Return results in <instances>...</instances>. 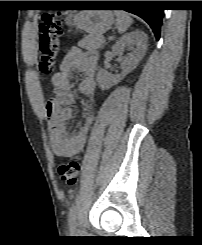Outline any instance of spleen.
Listing matches in <instances>:
<instances>
[{
  "instance_id": "3e777b00",
  "label": "spleen",
  "mask_w": 202,
  "mask_h": 245,
  "mask_svg": "<svg viewBox=\"0 0 202 245\" xmlns=\"http://www.w3.org/2000/svg\"><path fill=\"white\" fill-rule=\"evenodd\" d=\"M115 15L117 17L116 28L119 33H124L132 24V18L125 11H115Z\"/></svg>"
}]
</instances>
